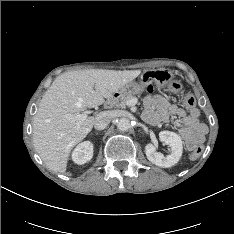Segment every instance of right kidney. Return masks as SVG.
I'll use <instances>...</instances> for the list:
<instances>
[{
	"instance_id": "obj_1",
	"label": "right kidney",
	"mask_w": 234,
	"mask_h": 234,
	"mask_svg": "<svg viewBox=\"0 0 234 234\" xmlns=\"http://www.w3.org/2000/svg\"><path fill=\"white\" fill-rule=\"evenodd\" d=\"M93 157V144L90 141L80 143L72 152V160L76 164H85Z\"/></svg>"
}]
</instances>
